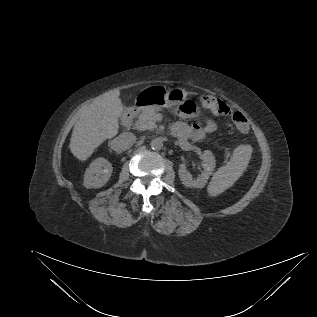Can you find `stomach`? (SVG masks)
Instances as JSON below:
<instances>
[{"label": "stomach", "mask_w": 317, "mask_h": 317, "mask_svg": "<svg viewBox=\"0 0 317 317\" xmlns=\"http://www.w3.org/2000/svg\"><path fill=\"white\" fill-rule=\"evenodd\" d=\"M188 92L183 88L165 89L155 85L144 88L136 96L135 103L141 109L145 108H169L181 106L187 100Z\"/></svg>", "instance_id": "1"}]
</instances>
